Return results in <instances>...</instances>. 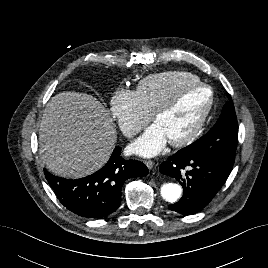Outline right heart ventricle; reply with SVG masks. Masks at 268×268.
Returning a JSON list of instances; mask_svg holds the SVG:
<instances>
[{
    "label": "right heart ventricle",
    "instance_id": "e07e8e85",
    "mask_svg": "<svg viewBox=\"0 0 268 268\" xmlns=\"http://www.w3.org/2000/svg\"><path fill=\"white\" fill-rule=\"evenodd\" d=\"M200 82L198 76L186 71H164L143 78L137 87L145 107L153 114L182 85Z\"/></svg>",
    "mask_w": 268,
    "mask_h": 268
}]
</instances>
